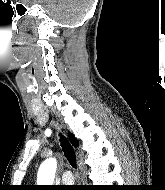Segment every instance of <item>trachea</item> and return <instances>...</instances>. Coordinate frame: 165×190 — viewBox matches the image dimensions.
<instances>
[{
    "label": "trachea",
    "instance_id": "obj_1",
    "mask_svg": "<svg viewBox=\"0 0 165 190\" xmlns=\"http://www.w3.org/2000/svg\"><path fill=\"white\" fill-rule=\"evenodd\" d=\"M60 141L65 157L69 161L70 165L73 168H76L77 164H76V155L74 149L72 148L69 141L65 137L61 136Z\"/></svg>",
    "mask_w": 165,
    "mask_h": 190
}]
</instances>
